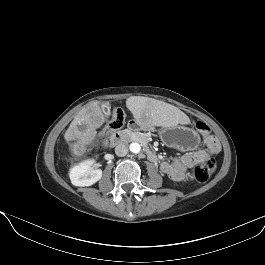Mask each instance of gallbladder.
<instances>
[{
	"label": "gallbladder",
	"mask_w": 265,
	"mask_h": 265,
	"mask_svg": "<svg viewBox=\"0 0 265 265\" xmlns=\"http://www.w3.org/2000/svg\"><path fill=\"white\" fill-rule=\"evenodd\" d=\"M102 107H103V111L106 115H110V105L108 103H104L102 104ZM79 129H82L80 126H79Z\"/></svg>",
	"instance_id": "gallbladder-1"
}]
</instances>
